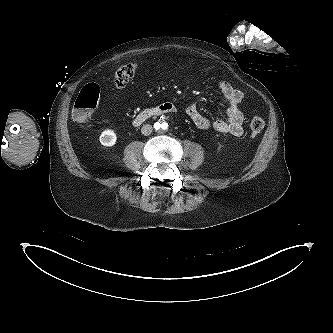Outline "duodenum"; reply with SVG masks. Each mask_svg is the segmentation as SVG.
I'll use <instances>...</instances> for the list:
<instances>
[{"label":"duodenum","instance_id":"duodenum-1","mask_svg":"<svg viewBox=\"0 0 333 333\" xmlns=\"http://www.w3.org/2000/svg\"><path fill=\"white\" fill-rule=\"evenodd\" d=\"M174 112H176V106L171 102H166V103L160 104L156 107L147 108V109L141 111L134 117L133 124L135 126H139L152 117L160 116V115H163L166 113H174Z\"/></svg>","mask_w":333,"mask_h":333}]
</instances>
